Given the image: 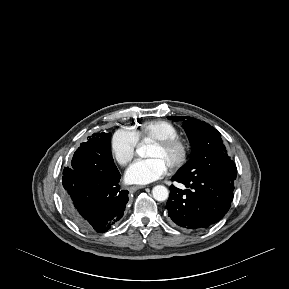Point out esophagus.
I'll return each mask as SVG.
<instances>
[{"label": "esophagus", "mask_w": 289, "mask_h": 289, "mask_svg": "<svg viewBox=\"0 0 289 289\" xmlns=\"http://www.w3.org/2000/svg\"><path fill=\"white\" fill-rule=\"evenodd\" d=\"M140 188H143V186H138V185H136V186H130V187H129V191H130V192H134V191H136V190H138V189H140Z\"/></svg>", "instance_id": "1"}]
</instances>
